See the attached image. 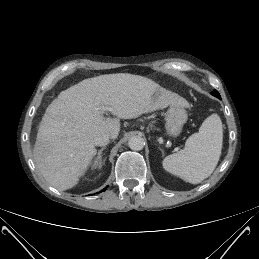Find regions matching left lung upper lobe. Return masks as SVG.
<instances>
[{
  "instance_id": "1",
  "label": "left lung upper lobe",
  "mask_w": 259,
  "mask_h": 259,
  "mask_svg": "<svg viewBox=\"0 0 259 259\" xmlns=\"http://www.w3.org/2000/svg\"><path fill=\"white\" fill-rule=\"evenodd\" d=\"M211 94L216 96L217 98H220V95L216 90H214Z\"/></svg>"
}]
</instances>
